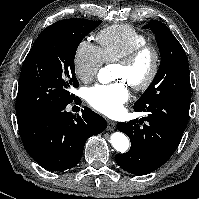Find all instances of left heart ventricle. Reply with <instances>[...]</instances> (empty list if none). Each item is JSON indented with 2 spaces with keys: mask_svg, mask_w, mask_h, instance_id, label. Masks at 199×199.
Here are the masks:
<instances>
[{
  "mask_svg": "<svg viewBox=\"0 0 199 199\" xmlns=\"http://www.w3.org/2000/svg\"><path fill=\"white\" fill-rule=\"evenodd\" d=\"M151 67V57L149 54L143 55L131 67H123L115 65L113 70V78L124 80L128 84L143 81L149 73Z\"/></svg>",
  "mask_w": 199,
  "mask_h": 199,
  "instance_id": "left-heart-ventricle-1",
  "label": "left heart ventricle"
}]
</instances>
